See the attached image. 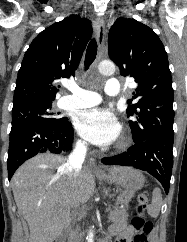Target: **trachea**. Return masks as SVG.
Returning a JSON list of instances; mask_svg holds the SVG:
<instances>
[{"instance_id":"1","label":"trachea","mask_w":187,"mask_h":242,"mask_svg":"<svg viewBox=\"0 0 187 242\" xmlns=\"http://www.w3.org/2000/svg\"><path fill=\"white\" fill-rule=\"evenodd\" d=\"M97 55V42L95 39H92L87 47L86 56H85V68L88 69L89 66L93 63Z\"/></svg>"}]
</instances>
